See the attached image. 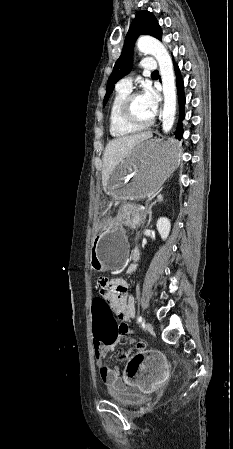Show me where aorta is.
Wrapping results in <instances>:
<instances>
[{"label":"aorta","instance_id":"762f6f07","mask_svg":"<svg viewBox=\"0 0 233 449\" xmlns=\"http://www.w3.org/2000/svg\"><path fill=\"white\" fill-rule=\"evenodd\" d=\"M137 47L140 52L153 55L159 63L164 94L162 128L167 133L173 127L176 113V86L171 57L165 46L152 37L139 38Z\"/></svg>","mask_w":233,"mask_h":449}]
</instances>
